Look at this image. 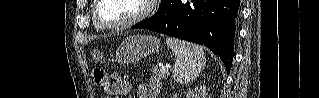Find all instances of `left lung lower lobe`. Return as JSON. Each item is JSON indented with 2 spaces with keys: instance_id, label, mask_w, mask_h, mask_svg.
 Wrapping results in <instances>:
<instances>
[{
  "instance_id": "1",
  "label": "left lung lower lobe",
  "mask_w": 319,
  "mask_h": 98,
  "mask_svg": "<svg viewBox=\"0 0 319 98\" xmlns=\"http://www.w3.org/2000/svg\"><path fill=\"white\" fill-rule=\"evenodd\" d=\"M240 0H165L161 17L143 28L204 45L220 56L230 72Z\"/></svg>"
}]
</instances>
